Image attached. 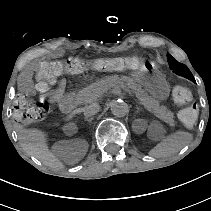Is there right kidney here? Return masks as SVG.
<instances>
[{
	"instance_id": "obj_1",
	"label": "right kidney",
	"mask_w": 211,
	"mask_h": 211,
	"mask_svg": "<svg viewBox=\"0 0 211 211\" xmlns=\"http://www.w3.org/2000/svg\"><path fill=\"white\" fill-rule=\"evenodd\" d=\"M63 131L67 135H73V134L77 133L78 127L75 123L69 122V123H67L66 125L63 126Z\"/></svg>"
}]
</instances>
